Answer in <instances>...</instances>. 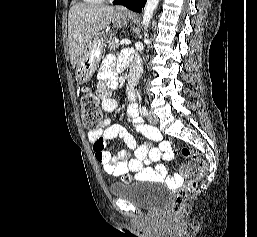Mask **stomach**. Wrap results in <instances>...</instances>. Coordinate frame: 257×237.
<instances>
[{
    "label": "stomach",
    "instance_id": "1",
    "mask_svg": "<svg viewBox=\"0 0 257 237\" xmlns=\"http://www.w3.org/2000/svg\"><path fill=\"white\" fill-rule=\"evenodd\" d=\"M132 19L129 13L115 12L111 23L114 27H122ZM109 27L106 31H102L95 35L86 45L81 54L76 69V79L79 83L88 82L93 76L102 57L105 43L108 40Z\"/></svg>",
    "mask_w": 257,
    "mask_h": 237
}]
</instances>
